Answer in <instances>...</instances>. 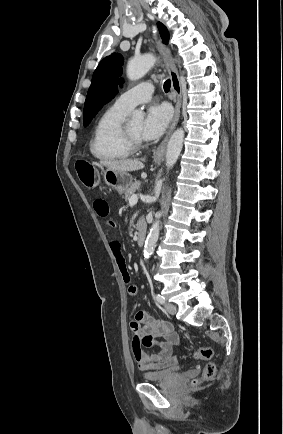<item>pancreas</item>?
I'll list each match as a JSON object with an SVG mask.
<instances>
[{
  "instance_id": "cf45deb5",
  "label": "pancreas",
  "mask_w": 283,
  "mask_h": 434,
  "mask_svg": "<svg viewBox=\"0 0 283 434\" xmlns=\"http://www.w3.org/2000/svg\"><path fill=\"white\" fill-rule=\"evenodd\" d=\"M140 184L141 183L139 181H136L129 187V189L125 192L123 196L125 201L129 200V198L134 194V192L140 187Z\"/></svg>"
}]
</instances>
